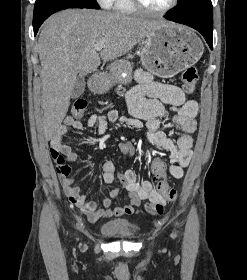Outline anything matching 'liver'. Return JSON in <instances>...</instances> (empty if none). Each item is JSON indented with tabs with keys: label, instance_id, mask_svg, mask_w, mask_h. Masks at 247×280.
Masks as SVG:
<instances>
[{
	"label": "liver",
	"instance_id": "1",
	"mask_svg": "<svg viewBox=\"0 0 247 280\" xmlns=\"http://www.w3.org/2000/svg\"><path fill=\"white\" fill-rule=\"evenodd\" d=\"M168 24L94 9H69L48 18L38 39L46 137L58 131L66 116L79 75L95 71L101 59L111 61L124 55ZM100 43L104 47L99 55L95 46Z\"/></svg>",
	"mask_w": 247,
	"mask_h": 280
}]
</instances>
